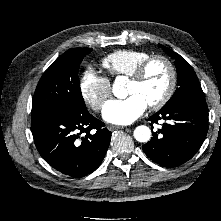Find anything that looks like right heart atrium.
<instances>
[{
  "label": "right heart atrium",
  "mask_w": 221,
  "mask_h": 221,
  "mask_svg": "<svg viewBox=\"0 0 221 221\" xmlns=\"http://www.w3.org/2000/svg\"><path fill=\"white\" fill-rule=\"evenodd\" d=\"M80 92L94 111H100L111 95V82L93 69H87L80 79Z\"/></svg>",
  "instance_id": "obj_1"
}]
</instances>
